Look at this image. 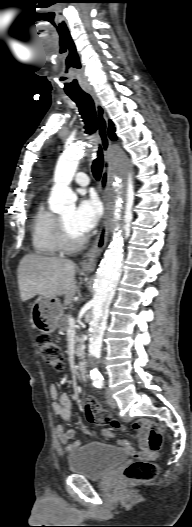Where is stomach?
<instances>
[{"label": "stomach", "instance_id": "obj_1", "mask_svg": "<svg viewBox=\"0 0 192 527\" xmlns=\"http://www.w3.org/2000/svg\"><path fill=\"white\" fill-rule=\"evenodd\" d=\"M63 305L54 297H39L32 305L31 321L43 333L54 332L63 315Z\"/></svg>", "mask_w": 192, "mask_h": 527}]
</instances>
